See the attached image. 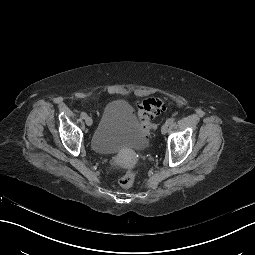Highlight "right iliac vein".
<instances>
[{"label":"right iliac vein","mask_w":255,"mask_h":255,"mask_svg":"<svg viewBox=\"0 0 255 255\" xmlns=\"http://www.w3.org/2000/svg\"><path fill=\"white\" fill-rule=\"evenodd\" d=\"M85 123L88 125V126H91L92 125V123H93V120H92V118L91 117H86L85 118Z\"/></svg>","instance_id":"63e3f726"}]
</instances>
